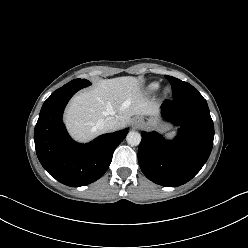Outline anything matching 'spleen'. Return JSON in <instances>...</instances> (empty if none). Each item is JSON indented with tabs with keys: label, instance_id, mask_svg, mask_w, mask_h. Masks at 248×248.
<instances>
[{
	"label": "spleen",
	"instance_id": "3e777b00",
	"mask_svg": "<svg viewBox=\"0 0 248 248\" xmlns=\"http://www.w3.org/2000/svg\"><path fill=\"white\" fill-rule=\"evenodd\" d=\"M172 135H174V132L168 134L167 136H168V137H171Z\"/></svg>",
	"mask_w": 248,
	"mask_h": 248
}]
</instances>
